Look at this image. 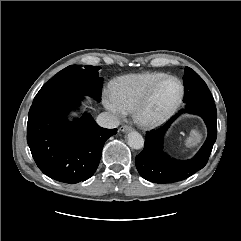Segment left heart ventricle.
Here are the masks:
<instances>
[{
    "label": "left heart ventricle",
    "mask_w": 241,
    "mask_h": 241,
    "mask_svg": "<svg viewBox=\"0 0 241 241\" xmlns=\"http://www.w3.org/2000/svg\"><path fill=\"white\" fill-rule=\"evenodd\" d=\"M180 87L177 81L169 79L164 81L155 92L146 109V115L156 116L170 107L178 98Z\"/></svg>",
    "instance_id": "1"
}]
</instances>
